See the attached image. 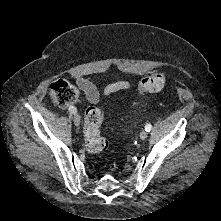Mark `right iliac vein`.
Instances as JSON below:
<instances>
[{
  "label": "right iliac vein",
  "instance_id": "1",
  "mask_svg": "<svg viewBox=\"0 0 221 221\" xmlns=\"http://www.w3.org/2000/svg\"><path fill=\"white\" fill-rule=\"evenodd\" d=\"M73 121H74V124H75L76 126H79V125H80L81 119H80L79 114H77V113L74 114V116H73Z\"/></svg>",
  "mask_w": 221,
  "mask_h": 221
}]
</instances>
